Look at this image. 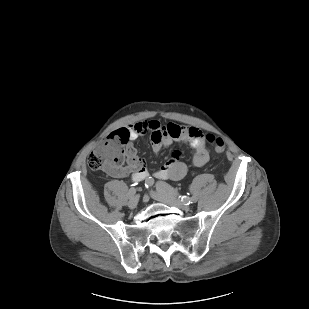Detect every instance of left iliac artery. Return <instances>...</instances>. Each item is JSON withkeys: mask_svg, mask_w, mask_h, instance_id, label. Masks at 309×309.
Returning a JSON list of instances; mask_svg holds the SVG:
<instances>
[{"mask_svg": "<svg viewBox=\"0 0 309 309\" xmlns=\"http://www.w3.org/2000/svg\"><path fill=\"white\" fill-rule=\"evenodd\" d=\"M156 189L158 191H162V192L167 193V194L172 195V196L177 195V192L173 187H171L169 184L162 182V181H159V182L156 183ZM181 201L184 202L186 205H189L190 203L196 202L197 199L195 197L190 198L188 196H182Z\"/></svg>", "mask_w": 309, "mask_h": 309, "instance_id": "44dca946", "label": "left iliac artery"}]
</instances>
